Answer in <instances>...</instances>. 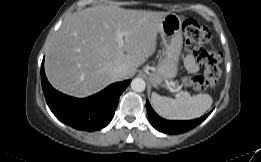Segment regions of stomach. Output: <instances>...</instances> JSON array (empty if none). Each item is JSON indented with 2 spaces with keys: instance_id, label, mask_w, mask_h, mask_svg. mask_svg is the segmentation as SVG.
Listing matches in <instances>:
<instances>
[{
  "instance_id": "stomach-1",
  "label": "stomach",
  "mask_w": 261,
  "mask_h": 162,
  "mask_svg": "<svg viewBox=\"0 0 261 162\" xmlns=\"http://www.w3.org/2000/svg\"><path fill=\"white\" fill-rule=\"evenodd\" d=\"M164 46L163 57L151 75V82L159 86L163 80L172 79L178 73L179 57L183 45L182 19L175 13H168L159 29Z\"/></svg>"
}]
</instances>
